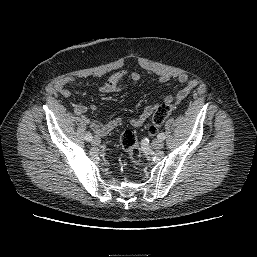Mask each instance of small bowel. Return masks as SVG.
<instances>
[{
  "label": "small bowel",
  "instance_id": "c3829d8e",
  "mask_svg": "<svg viewBox=\"0 0 257 257\" xmlns=\"http://www.w3.org/2000/svg\"><path fill=\"white\" fill-rule=\"evenodd\" d=\"M156 77L161 83H166L170 80L171 76L166 72H156ZM129 77L132 83H136L141 79V73L137 71L128 72L126 70H120L109 76V78L102 84L100 90L103 93H114L118 92L121 89L122 82L125 78ZM179 83L183 85V88L179 90L175 96L177 100H183L196 86L195 80L187 74H181L177 77ZM76 79L74 77H67L62 79L56 84V88L58 91L62 93L65 97L70 95V91L66 89V86L74 84ZM174 97L171 95H166L163 98L164 103H172ZM158 107L157 104H148L143 109L142 113L133 118L130 121V124L133 127H140L142 126L146 120L154 113L156 108ZM92 110H95V107H91ZM75 113L76 115L80 116L84 122L92 129V131L97 136H105L110 133L120 122V118L110 119L105 123H101L96 119L89 118L87 116L88 108L83 104H76L75 105Z\"/></svg>",
  "mask_w": 257,
  "mask_h": 257
}]
</instances>
